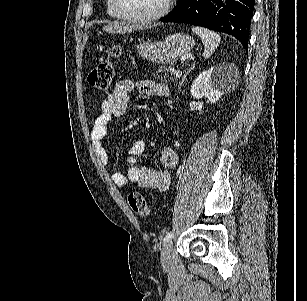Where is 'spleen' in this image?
Wrapping results in <instances>:
<instances>
[{
    "label": "spleen",
    "mask_w": 307,
    "mask_h": 301,
    "mask_svg": "<svg viewBox=\"0 0 307 301\" xmlns=\"http://www.w3.org/2000/svg\"><path fill=\"white\" fill-rule=\"evenodd\" d=\"M193 32H196L198 36H200L203 44H204V58H209L212 52H214L215 48L219 46L221 42V36L218 32H214V30H209V28H202V26H192Z\"/></svg>",
    "instance_id": "obj_1"
}]
</instances>
